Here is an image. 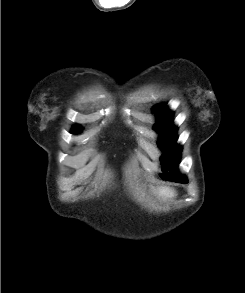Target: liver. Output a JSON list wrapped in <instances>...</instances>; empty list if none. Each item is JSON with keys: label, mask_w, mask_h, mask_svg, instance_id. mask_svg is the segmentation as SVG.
I'll return each mask as SVG.
<instances>
[{"label": "liver", "mask_w": 245, "mask_h": 293, "mask_svg": "<svg viewBox=\"0 0 245 293\" xmlns=\"http://www.w3.org/2000/svg\"><path fill=\"white\" fill-rule=\"evenodd\" d=\"M157 193L160 197H162L164 199L173 198L176 196L174 189H172L168 186L157 187Z\"/></svg>", "instance_id": "1"}]
</instances>
